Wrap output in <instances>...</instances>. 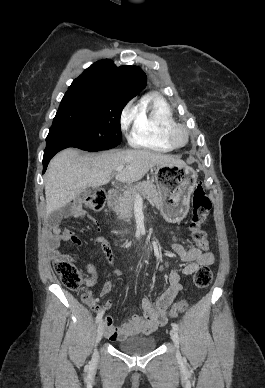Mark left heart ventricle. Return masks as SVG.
Masks as SVG:
<instances>
[{
	"instance_id": "obj_1",
	"label": "left heart ventricle",
	"mask_w": 265,
	"mask_h": 388,
	"mask_svg": "<svg viewBox=\"0 0 265 388\" xmlns=\"http://www.w3.org/2000/svg\"><path fill=\"white\" fill-rule=\"evenodd\" d=\"M177 140H178L179 142H182V141L184 140V135H183L182 133H178V134H177Z\"/></svg>"
}]
</instances>
